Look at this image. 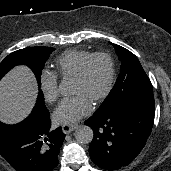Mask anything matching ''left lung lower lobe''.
<instances>
[{"label":"left lung lower lobe","mask_w":171,"mask_h":171,"mask_svg":"<svg viewBox=\"0 0 171 171\" xmlns=\"http://www.w3.org/2000/svg\"><path fill=\"white\" fill-rule=\"evenodd\" d=\"M154 123V105L134 103L105 114H94L85 124L94 132L89 147L100 168L117 170L143 149Z\"/></svg>","instance_id":"0a47b994"}]
</instances>
